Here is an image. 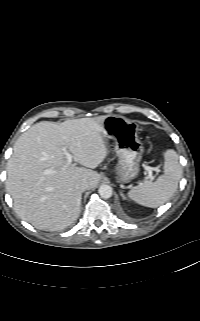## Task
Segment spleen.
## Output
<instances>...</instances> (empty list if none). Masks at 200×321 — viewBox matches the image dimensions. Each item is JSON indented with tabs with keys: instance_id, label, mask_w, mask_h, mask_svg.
<instances>
[{
	"instance_id": "obj_1",
	"label": "spleen",
	"mask_w": 200,
	"mask_h": 321,
	"mask_svg": "<svg viewBox=\"0 0 200 321\" xmlns=\"http://www.w3.org/2000/svg\"><path fill=\"white\" fill-rule=\"evenodd\" d=\"M164 173L156 181L145 179L129 192L128 197L134 202L157 208L166 203L176 192L182 177V168L175 150L167 149L164 154Z\"/></svg>"
}]
</instances>
